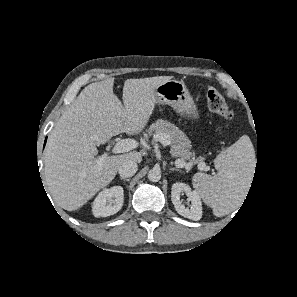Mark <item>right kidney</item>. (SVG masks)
Wrapping results in <instances>:
<instances>
[{
  "instance_id": "right-kidney-1",
  "label": "right kidney",
  "mask_w": 297,
  "mask_h": 297,
  "mask_svg": "<svg viewBox=\"0 0 297 297\" xmlns=\"http://www.w3.org/2000/svg\"><path fill=\"white\" fill-rule=\"evenodd\" d=\"M124 191L121 186L103 189L92 204L95 217H108L117 213L123 205Z\"/></svg>"
}]
</instances>
